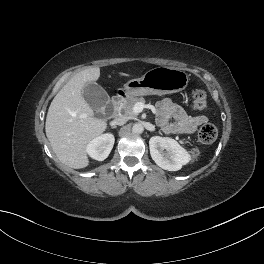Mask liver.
<instances>
[{"label":"liver","instance_id":"obj_1","mask_svg":"<svg viewBox=\"0 0 264 264\" xmlns=\"http://www.w3.org/2000/svg\"><path fill=\"white\" fill-rule=\"evenodd\" d=\"M99 77V67L77 73L56 94L48 109L46 136L59 161L74 169L89 165L87 145L107 127L106 121L94 117L93 109L83 98L84 86Z\"/></svg>","mask_w":264,"mask_h":264}]
</instances>
